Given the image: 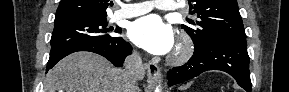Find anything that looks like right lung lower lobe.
I'll return each mask as SVG.
<instances>
[{"mask_svg":"<svg viewBox=\"0 0 289 92\" xmlns=\"http://www.w3.org/2000/svg\"><path fill=\"white\" fill-rule=\"evenodd\" d=\"M77 51H90L97 53L107 58L113 65L120 67L122 66L126 56L132 53V47L122 38H118L110 43L89 42L66 47L53 54H50L46 72L59 60Z\"/></svg>","mask_w":289,"mask_h":92,"instance_id":"right-lung-lower-lobe-1","label":"right lung lower lobe"}]
</instances>
